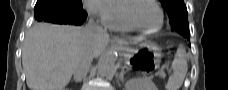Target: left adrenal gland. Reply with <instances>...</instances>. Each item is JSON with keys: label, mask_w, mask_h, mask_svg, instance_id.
Instances as JSON below:
<instances>
[{"label": "left adrenal gland", "mask_w": 228, "mask_h": 90, "mask_svg": "<svg viewBox=\"0 0 228 90\" xmlns=\"http://www.w3.org/2000/svg\"><path fill=\"white\" fill-rule=\"evenodd\" d=\"M124 75H125V70L122 69L121 72H120V75H119V80H120L121 82H124Z\"/></svg>", "instance_id": "1"}]
</instances>
